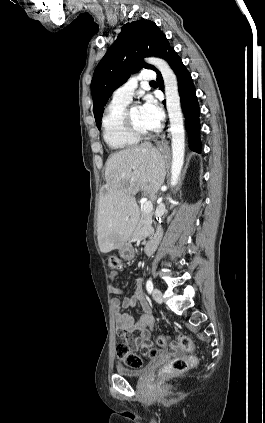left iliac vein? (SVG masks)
<instances>
[{
	"mask_svg": "<svg viewBox=\"0 0 265 423\" xmlns=\"http://www.w3.org/2000/svg\"><path fill=\"white\" fill-rule=\"evenodd\" d=\"M152 296L157 303L161 304L163 302V295L159 289L155 288L153 290Z\"/></svg>",
	"mask_w": 265,
	"mask_h": 423,
	"instance_id": "4c4485c4",
	"label": "left iliac vein"
}]
</instances>
